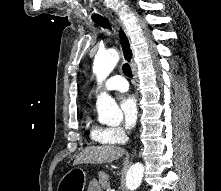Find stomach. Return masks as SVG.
<instances>
[{
    "label": "stomach",
    "instance_id": "1",
    "mask_svg": "<svg viewBox=\"0 0 221 191\" xmlns=\"http://www.w3.org/2000/svg\"><path fill=\"white\" fill-rule=\"evenodd\" d=\"M85 185L86 172L80 167H74L59 181L57 191H83Z\"/></svg>",
    "mask_w": 221,
    "mask_h": 191
}]
</instances>
